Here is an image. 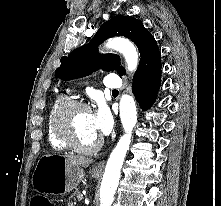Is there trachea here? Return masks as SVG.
<instances>
[{"label":"trachea","instance_id":"1","mask_svg":"<svg viewBox=\"0 0 221 206\" xmlns=\"http://www.w3.org/2000/svg\"><path fill=\"white\" fill-rule=\"evenodd\" d=\"M112 92H113V93H118V91H117V90H113Z\"/></svg>","mask_w":221,"mask_h":206}]
</instances>
